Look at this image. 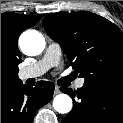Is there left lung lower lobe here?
<instances>
[{
    "instance_id": "left-lung-lower-lobe-1",
    "label": "left lung lower lobe",
    "mask_w": 123,
    "mask_h": 123,
    "mask_svg": "<svg viewBox=\"0 0 123 123\" xmlns=\"http://www.w3.org/2000/svg\"><path fill=\"white\" fill-rule=\"evenodd\" d=\"M73 100L72 111L61 123H122L123 90L85 84L73 91L60 88Z\"/></svg>"
}]
</instances>
